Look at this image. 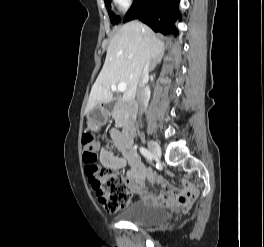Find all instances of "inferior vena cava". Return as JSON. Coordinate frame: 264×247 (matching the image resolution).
<instances>
[{
  "label": "inferior vena cava",
  "instance_id": "602c4592",
  "mask_svg": "<svg viewBox=\"0 0 264 247\" xmlns=\"http://www.w3.org/2000/svg\"><path fill=\"white\" fill-rule=\"evenodd\" d=\"M148 78H149V62L147 61L142 68V72L136 89V96L140 107V114H142L146 110L150 98V89L147 84Z\"/></svg>",
  "mask_w": 264,
  "mask_h": 247
}]
</instances>
